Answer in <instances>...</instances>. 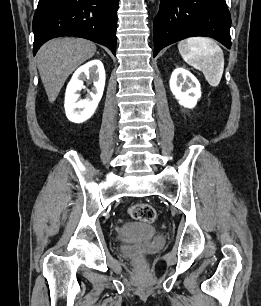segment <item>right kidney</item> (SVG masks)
<instances>
[{
	"label": "right kidney",
	"mask_w": 261,
	"mask_h": 306,
	"mask_svg": "<svg viewBox=\"0 0 261 306\" xmlns=\"http://www.w3.org/2000/svg\"><path fill=\"white\" fill-rule=\"evenodd\" d=\"M86 79L93 81L92 91L84 99L80 91ZM105 86V70L100 60H92L79 67L73 74L65 93V112L67 118L74 123L88 120L95 112L103 95Z\"/></svg>",
	"instance_id": "obj_1"
}]
</instances>
